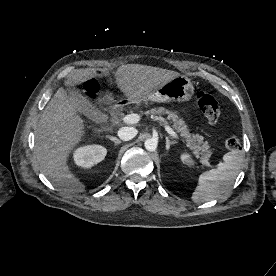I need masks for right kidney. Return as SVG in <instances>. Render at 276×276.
Returning a JSON list of instances; mask_svg holds the SVG:
<instances>
[{
    "label": "right kidney",
    "instance_id": "obj_1",
    "mask_svg": "<svg viewBox=\"0 0 276 276\" xmlns=\"http://www.w3.org/2000/svg\"><path fill=\"white\" fill-rule=\"evenodd\" d=\"M107 154V149L101 145H87L76 149L74 161L78 166L91 168L101 162Z\"/></svg>",
    "mask_w": 276,
    "mask_h": 276
}]
</instances>
